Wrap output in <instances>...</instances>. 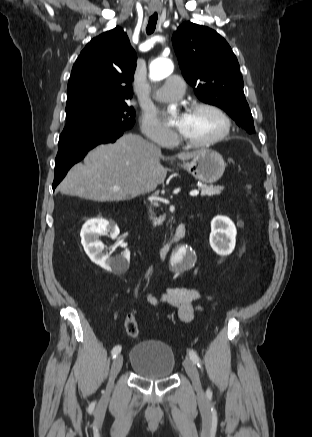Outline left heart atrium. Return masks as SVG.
<instances>
[{
  "instance_id": "1",
  "label": "left heart atrium",
  "mask_w": 312,
  "mask_h": 437,
  "mask_svg": "<svg viewBox=\"0 0 312 437\" xmlns=\"http://www.w3.org/2000/svg\"><path fill=\"white\" fill-rule=\"evenodd\" d=\"M187 119V114H181L177 119V127L180 131L184 129L185 122Z\"/></svg>"
}]
</instances>
